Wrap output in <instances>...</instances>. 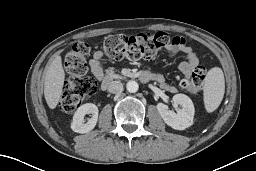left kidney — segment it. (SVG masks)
<instances>
[{
	"label": "left kidney",
	"mask_w": 256,
	"mask_h": 171,
	"mask_svg": "<svg viewBox=\"0 0 256 171\" xmlns=\"http://www.w3.org/2000/svg\"><path fill=\"white\" fill-rule=\"evenodd\" d=\"M173 102L177 107L176 112L169 110L163 103H158L156 106L164 122L175 130H185L192 126L195 113L192 100L187 95L176 94L173 96Z\"/></svg>",
	"instance_id": "left-kidney-1"
}]
</instances>
